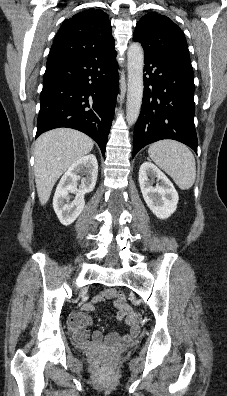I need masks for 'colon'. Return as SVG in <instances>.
<instances>
[{
    "instance_id": "1",
    "label": "colon",
    "mask_w": 227,
    "mask_h": 396,
    "mask_svg": "<svg viewBox=\"0 0 227 396\" xmlns=\"http://www.w3.org/2000/svg\"><path fill=\"white\" fill-rule=\"evenodd\" d=\"M117 296L119 299H124V294L122 292H118Z\"/></svg>"
}]
</instances>
